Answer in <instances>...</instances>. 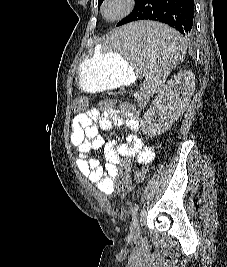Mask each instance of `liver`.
I'll list each match as a JSON object with an SVG mask.
<instances>
[{
  "label": "liver",
  "instance_id": "liver-1",
  "mask_svg": "<svg viewBox=\"0 0 227 267\" xmlns=\"http://www.w3.org/2000/svg\"><path fill=\"white\" fill-rule=\"evenodd\" d=\"M112 33H116V30H114ZM99 49H100V47H97V48H96V51L98 52Z\"/></svg>",
  "mask_w": 227,
  "mask_h": 267
}]
</instances>
